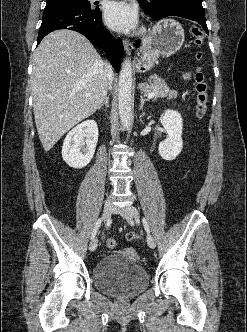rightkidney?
Instances as JSON below:
<instances>
[{"label": "right kidney", "instance_id": "1", "mask_svg": "<svg viewBox=\"0 0 247 332\" xmlns=\"http://www.w3.org/2000/svg\"><path fill=\"white\" fill-rule=\"evenodd\" d=\"M98 127L94 120H87L74 127L62 146V158L72 168L87 166L95 153Z\"/></svg>", "mask_w": 247, "mask_h": 332}]
</instances>
